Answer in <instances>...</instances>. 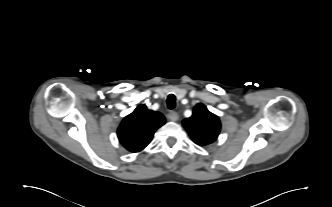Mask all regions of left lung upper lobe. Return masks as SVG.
Listing matches in <instances>:
<instances>
[{
    "mask_svg": "<svg viewBox=\"0 0 332 207\" xmlns=\"http://www.w3.org/2000/svg\"><path fill=\"white\" fill-rule=\"evenodd\" d=\"M183 126L191 139L200 146L214 142L221 128L219 117L201 103L194 107L193 115L190 118L183 120Z\"/></svg>",
    "mask_w": 332,
    "mask_h": 207,
    "instance_id": "1",
    "label": "left lung upper lobe"
}]
</instances>
